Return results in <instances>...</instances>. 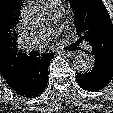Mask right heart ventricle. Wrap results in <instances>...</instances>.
Returning <instances> with one entry per match:
<instances>
[{"mask_svg":"<svg viewBox=\"0 0 113 113\" xmlns=\"http://www.w3.org/2000/svg\"><path fill=\"white\" fill-rule=\"evenodd\" d=\"M50 1H52V0H43V4L48 3Z\"/></svg>","mask_w":113,"mask_h":113,"instance_id":"right-heart-ventricle-1","label":"right heart ventricle"}]
</instances>
